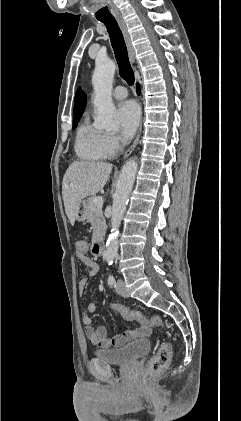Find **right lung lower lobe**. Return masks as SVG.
I'll return each instance as SVG.
<instances>
[{
  "mask_svg": "<svg viewBox=\"0 0 241 421\" xmlns=\"http://www.w3.org/2000/svg\"><path fill=\"white\" fill-rule=\"evenodd\" d=\"M137 93H138V95L140 94V86H139V84H137Z\"/></svg>",
  "mask_w": 241,
  "mask_h": 421,
  "instance_id": "obj_1",
  "label": "right lung lower lobe"
}]
</instances>
